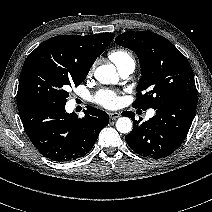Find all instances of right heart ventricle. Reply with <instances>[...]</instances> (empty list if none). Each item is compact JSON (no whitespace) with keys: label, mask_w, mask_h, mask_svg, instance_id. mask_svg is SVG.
Segmentation results:
<instances>
[{"label":"right heart ventricle","mask_w":212,"mask_h":212,"mask_svg":"<svg viewBox=\"0 0 212 212\" xmlns=\"http://www.w3.org/2000/svg\"><path fill=\"white\" fill-rule=\"evenodd\" d=\"M109 58L115 63L117 68L128 61H133L131 54L123 49H116L111 51L109 53Z\"/></svg>","instance_id":"e07e8e85"}]
</instances>
